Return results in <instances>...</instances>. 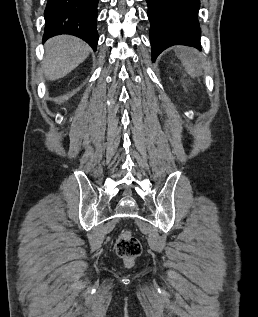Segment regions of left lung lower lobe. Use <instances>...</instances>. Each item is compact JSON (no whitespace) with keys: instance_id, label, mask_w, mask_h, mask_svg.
I'll use <instances>...</instances> for the list:
<instances>
[{"instance_id":"1","label":"left lung lower lobe","mask_w":258,"mask_h":317,"mask_svg":"<svg viewBox=\"0 0 258 317\" xmlns=\"http://www.w3.org/2000/svg\"><path fill=\"white\" fill-rule=\"evenodd\" d=\"M151 23L152 60L173 45L201 49L200 0H146Z\"/></svg>"}]
</instances>
